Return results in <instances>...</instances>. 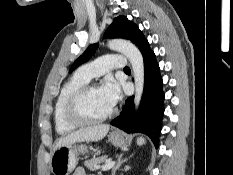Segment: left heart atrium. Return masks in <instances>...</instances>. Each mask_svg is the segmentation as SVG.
Returning a JSON list of instances; mask_svg holds the SVG:
<instances>
[{
    "label": "left heart atrium",
    "mask_w": 233,
    "mask_h": 175,
    "mask_svg": "<svg viewBox=\"0 0 233 175\" xmlns=\"http://www.w3.org/2000/svg\"><path fill=\"white\" fill-rule=\"evenodd\" d=\"M101 93L111 107H114L121 98V89L119 84L112 78L104 81L100 87Z\"/></svg>",
    "instance_id": "1"
}]
</instances>
